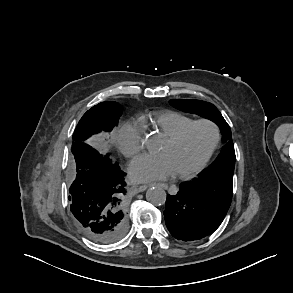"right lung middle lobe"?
<instances>
[{
    "label": "right lung middle lobe",
    "instance_id": "right-lung-middle-lobe-1",
    "mask_svg": "<svg viewBox=\"0 0 293 293\" xmlns=\"http://www.w3.org/2000/svg\"><path fill=\"white\" fill-rule=\"evenodd\" d=\"M122 108L116 102L105 101L88 110L79 121L74 134L73 143L86 142L93 134L100 131H111L118 125Z\"/></svg>",
    "mask_w": 293,
    "mask_h": 293
}]
</instances>
